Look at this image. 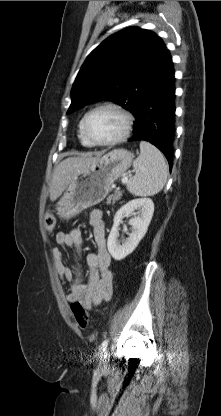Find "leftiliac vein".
Masks as SVG:
<instances>
[{
	"label": "left iliac vein",
	"mask_w": 221,
	"mask_h": 416,
	"mask_svg": "<svg viewBox=\"0 0 221 416\" xmlns=\"http://www.w3.org/2000/svg\"><path fill=\"white\" fill-rule=\"evenodd\" d=\"M99 366H100L101 368L105 366V362H104V360H103V361H100V365H99Z\"/></svg>",
	"instance_id": "1"
}]
</instances>
